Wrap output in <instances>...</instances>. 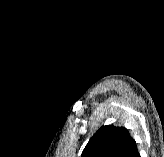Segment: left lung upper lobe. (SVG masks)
<instances>
[{
	"label": "left lung upper lobe",
	"instance_id": "1",
	"mask_svg": "<svg viewBox=\"0 0 164 157\" xmlns=\"http://www.w3.org/2000/svg\"><path fill=\"white\" fill-rule=\"evenodd\" d=\"M134 144L126 128L106 125L89 140L81 157H127Z\"/></svg>",
	"mask_w": 164,
	"mask_h": 157
}]
</instances>
